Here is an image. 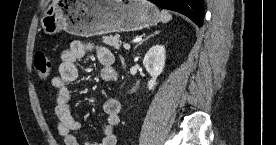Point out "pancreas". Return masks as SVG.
I'll return each mask as SVG.
<instances>
[{
	"label": "pancreas",
	"mask_w": 276,
	"mask_h": 145,
	"mask_svg": "<svg viewBox=\"0 0 276 145\" xmlns=\"http://www.w3.org/2000/svg\"><path fill=\"white\" fill-rule=\"evenodd\" d=\"M103 42L109 45L110 47L120 50L121 41L119 39V35L103 36Z\"/></svg>",
	"instance_id": "cf45deb5"
}]
</instances>
